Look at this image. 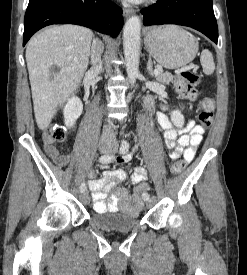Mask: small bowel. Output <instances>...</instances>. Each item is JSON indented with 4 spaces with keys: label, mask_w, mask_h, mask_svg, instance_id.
Returning <instances> with one entry per match:
<instances>
[{
    "label": "small bowel",
    "mask_w": 247,
    "mask_h": 275,
    "mask_svg": "<svg viewBox=\"0 0 247 275\" xmlns=\"http://www.w3.org/2000/svg\"><path fill=\"white\" fill-rule=\"evenodd\" d=\"M156 119L163 130L166 147L172 150L170 153L171 159L183 158L186 162L192 161L202 141L204 128L194 121H189L184 128L178 130L163 112H159ZM45 152L58 166L65 167L70 162L68 156L61 154L50 144L45 145ZM130 160L131 154H127L119 157L117 163H126ZM87 177L89 178L88 186L94 201L93 208L96 212L121 211L137 214L142 209L143 202L140 196L130 195L125 188L119 187V184L126 179V173L123 170L108 169L99 178L96 177L95 170H90ZM146 180V169L143 166H137L132 175V183L138 186L145 183ZM112 190L114 192L107 199V193Z\"/></svg>",
    "instance_id": "1"
}]
</instances>
